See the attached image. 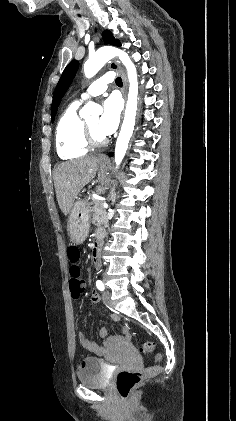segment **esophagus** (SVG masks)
I'll use <instances>...</instances> for the list:
<instances>
[{
  "label": "esophagus",
  "instance_id": "esophagus-1",
  "mask_svg": "<svg viewBox=\"0 0 236 421\" xmlns=\"http://www.w3.org/2000/svg\"><path fill=\"white\" fill-rule=\"evenodd\" d=\"M90 22L92 23V25L96 26V23L91 18H90ZM110 68H111V70L116 69L118 71V73L121 75V78L123 80V87H122L121 91H122V94H123V98L126 102V89H127L126 75H125L124 71L121 69V67L119 66V64L116 62L115 59L110 62ZM99 160L108 161V157L106 155H101L99 157Z\"/></svg>",
  "mask_w": 236,
  "mask_h": 421
}]
</instances>
